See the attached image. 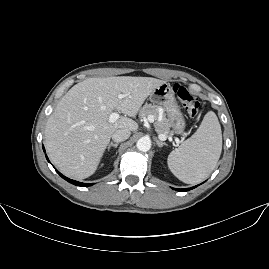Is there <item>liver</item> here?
Segmentation results:
<instances>
[{
    "label": "liver",
    "instance_id": "1",
    "mask_svg": "<svg viewBox=\"0 0 269 269\" xmlns=\"http://www.w3.org/2000/svg\"><path fill=\"white\" fill-rule=\"evenodd\" d=\"M165 81L152 77L88 78L74 85L57 104L45 127L51 161L67 177L91 176L118 129L136 131L135 117L150 93ZM119 94H125L122 99ZM125 116L110 123L114 111Z\"/></svg>",
    "mask_w": 269,
    "mask_h": 269
}]
</instances>
